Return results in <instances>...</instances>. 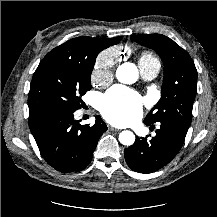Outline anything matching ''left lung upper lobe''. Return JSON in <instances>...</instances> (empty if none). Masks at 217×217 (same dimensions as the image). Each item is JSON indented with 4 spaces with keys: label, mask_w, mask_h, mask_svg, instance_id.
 <instances>
[{
    "label": "left lung upper lobe",
    "mask_w": 217,
    "mask_h": 217,
    "mask_svg": "<svg viewBox=\"0 0 217 217\" xmlns=\"http://www.w3.org/2000/svg\"><path fill=\"white\" fill-rule=\"evenodd\" d=\"M130 38L155 50L164 65L161 99L148 113L145 121L155 123L173 118L190 125L197 93V70L190 55L161 34L132 35Z\"/></svg>",
    "instance_id": "obj_1"
}]
</instances>
